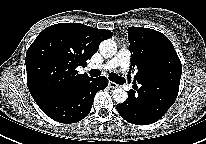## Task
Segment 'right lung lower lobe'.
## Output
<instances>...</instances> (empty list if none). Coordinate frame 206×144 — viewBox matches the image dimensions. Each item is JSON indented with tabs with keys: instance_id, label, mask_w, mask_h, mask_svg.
Returning a JSON list of instances; mask_svg holds the SVG:
<instances>
[{
	"instance_id": "98d812e1",
	"label": "right lung lower lobe",
	"mask_w": 206,
	"mask_h": 144,
	"mask_svg": "<svg viewBox=\"0 0 206 144\" xmlns=\"http://www.w3.org/2000/svg\"><path fill=\"white\" fill-rule=\"evenodd\" d=\"M108 85L104 76L91 78L77 87L55 93L37 103L50 118L60 123H75L90 112L97 91Z\"/></svg>"
}]
</instances>
